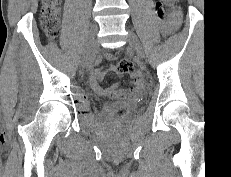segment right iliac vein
<instances>
[{"instance_id":"obj_1","label":"right iliac vein","mask_w":231,"mask_h":177,"mask_svg":"<svg viewBox=\"0 0 231 177\" xmlns=\"http://www.w3.org/2000/svg\"><path fill=\"white\" fill-rule=\"evenodd\" d=\"M97 31H98L97 25L93 24L91 29H90V33H89V36H88V39H87V42H86L85 48H84V56H83L84 66L88 65L92 51L95 48V45H96L95 39H96Z\"/></svg>"}]
</instances>
